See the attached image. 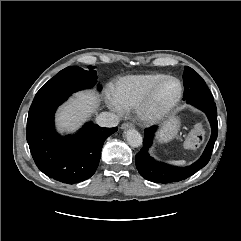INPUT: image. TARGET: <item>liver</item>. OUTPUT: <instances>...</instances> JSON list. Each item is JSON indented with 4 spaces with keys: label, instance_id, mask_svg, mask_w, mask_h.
I'll list each match as a JSON object with an SVG mask.
<instances>
[{
    "label": "liver",
    "instance_id": "1",
    "mask_svg": "<svg viewBox=\"0 0 241 241\" xmlns=\"http://www.w3.org/2000/svg\"><path fill=\"white\" fill-rule=\"evenodd\" d=\"M98 96L91 91L75 94L71 101L57 113V126L61 131H75L99 105Z\"/></svg>",
    "mask_w": 241,
    "mask_h": 241
}]
</instances>
